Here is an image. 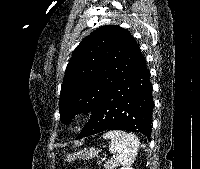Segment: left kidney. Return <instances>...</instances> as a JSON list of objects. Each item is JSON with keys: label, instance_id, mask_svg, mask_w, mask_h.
I'll return each mask as SVG.
<instances>
[{"label": "left kidney", "instance_id": "obj_1", "mask_svg": "<svg viewBox=\"0 0 200 169\" xmlns=\"http://www.w3.org/2000/svg\"><path fill=\"white\" fill-rule=\"evenodd\" d=\"M120 169H133V168H130V167H122Z\"/></svg>", "mask_w": 200, "mask_h": 169}]
</instances>
